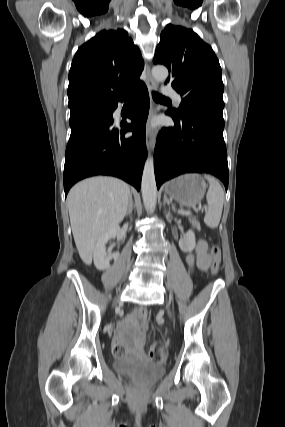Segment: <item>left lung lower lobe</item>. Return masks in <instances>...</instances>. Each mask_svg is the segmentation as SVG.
<instances>
[{"label": "left lung lower lobe", "instance_id": "0a47b994", "mask_svg": "<svg viewBox=\"0 0 285 427\" xmlns=\"http://www.w3.org/2000/svg\"><path fill=\"white\" fill-rule=\"evenodd\" d=\"M174 127L163 128L155 152L157 188L163 182L184 173H209L228 188L227 151L223 138V116L198 112L181 118L169 110Z\"/></svg>", "mask_w": 285, "mask_h": 427}]
</instances>
